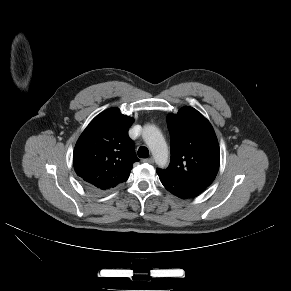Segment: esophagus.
I'll return each instance as SVG.
<instances>
[{
  "mask_svg": "<svg viewBox=\"0 0 291 291\" xmlns=\"http://www.w3.org/2000/svg\"><path fill=\"white\" fill-rule=\"evenodd\" d=\"M143 162H147V163L153 164L154 163V159L152 157H150V158L144 159Z\"/></svg>",
  "mask_w": 291,
  "mask_h": 291,
  "instance_id": "34e87169",
  "label": "esophagus"
}]
</instances>
